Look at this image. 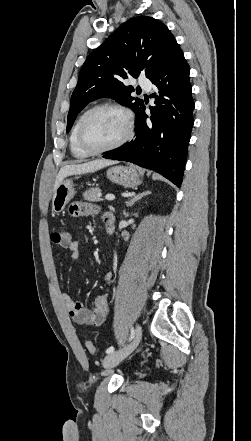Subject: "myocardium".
Listing matches in <instances>:
<instances>
[{
    "label": "myocardium",
    "instance_id": "obj_1",
    "mask_svg": "<svg viewBox=\"0 0 251 441\" xmlns=\"http://www.w3.org/2000/svg\"><path fill=\"white\" fill-rule=\"evenodd\" d=\"M100 109H113V110H116V111L122 113L125 118L126 131H125L124 135L115 143H113L109 146L103 147V148L95 149V148L89 147L85 143L83 131H84V125H85V122H86L88 116L90 114H92L93 112L100 110ZM133 130H134L133 115L129 109H127L126 107H124L120 104H117V103L104 102V103H100V104H97V105L91 107L81 116L79 124H78V129H77V142H78L79 147L83 151L88 153L89 155H99V154L109 152V151L115 150V149L123 146L126 142H128L132 138Z\"/></svg>",
    "mask_w": 251,
    "mask_h": 441
}]
</instances>
